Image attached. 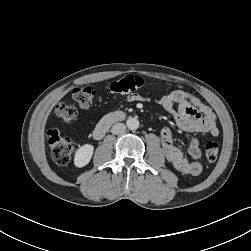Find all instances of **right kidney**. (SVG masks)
<instances>
[{
	"label": "right kidney",
	"instance_id": "1",
	"mask_svg": "<svg viewBox=\"0 0 251 251\" xmlns=\"http://www.w3.org/2000/svg\"><path fill=\"white\" fill-rule=\"evenodd\" d=\"M94 147L91 144H85L81 146L75 153L74 164L76 167H84L86 166L93 155Z\"/></svg>",
	"mask_w": 251,
	"mask_h": 251
}]
</instances>
